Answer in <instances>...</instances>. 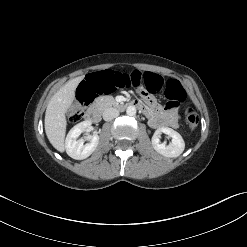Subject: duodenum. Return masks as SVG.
<instances>
[{
    "label": "duodenum",
    "instance_id": "1",
    "mask_svg": "<svg viewBox=\"0 0 247 247\" xmlns=\"http://www.w3.org/2000/svg\"><path fill=\"white\" fill-rule=\"evenodd\" d=\"M127 107H135L140 110L144 109V104L141 101L135 100L128 103H117L115 108L118 110H124ZM90 122H98L101 118V112L98 108L93 107L88 110L85 117Z\"/></svg>",
    "mask_w": 247,
    "mask_h": 247
}]
</instances>
